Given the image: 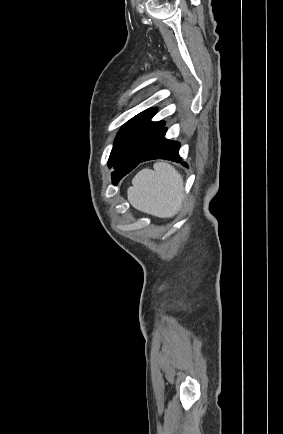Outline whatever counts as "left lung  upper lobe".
Segmentation results:
<instances>
[{"label":"left lung upper lobe","mask_w":283,"mask_h":434,"mask_svg":"<svg viewBox=\"0 0 283 434\" xmlns=\"http://www.w3.org/2000/svg\"><path fill=\"white\" fill-rule=\"evenodd\" d=\"M156 113L148 109L129 120L118 133L108 165L114 167L142 157L164 128L163 121L151 122Z\"/></svg>","instance_id":"left-lung-upper-lobe-1"}]
</instances>
